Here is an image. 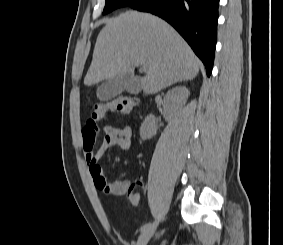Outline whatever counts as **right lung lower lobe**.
Segmentation results:
<instances>
[{
  "mask_svg": "<svg viewBox=\"0 0 283 245\" xmlns=\"http://www.w3.org/2000/svg\"><path fill=\"white\" fill-rule=\"evenodd\" d=\"M219 0H140L130 6L170 23L188 42L210 76L217 38Z\"/></svg>",
  "mask_w": 283,
  "mask_h": 245,
  "instance_id": "obj_1",
  "label": "right lung lower lobe"
}]
</instances>
